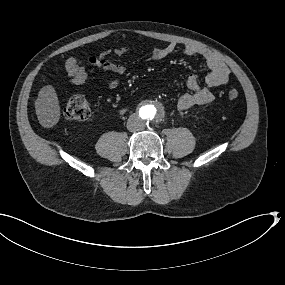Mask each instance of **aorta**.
I'll use <instances>...</instances> for the list:
<instances>
[{
	"label": "aorta",
	"mask_w": 285,
	"mask_h": 285,
	"mask_svg": "<svg viewBox=\"0 0 285 285\" xmlns=\"http://www.w3.org/2000/svg\"><path fill=\"white\" fill-rule=\"evenodd\" d=\"M163 112L164 109L162 104L155 100L147 102L141 108L142 117L152 121L160 119L163 115Z\"/></svg>",
	"instance_id": "1"
}]
</instances>
